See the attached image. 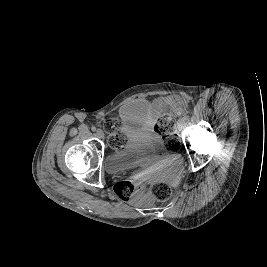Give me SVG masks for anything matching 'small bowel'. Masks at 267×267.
Listing matches in <instances>:
<instances>
[{
    "label": "small bowel",
    "mask_w": 267,
    "mask_h": 267,
    "mask_svg": "<svg viewBox=\"0 0 267 267\" xmlns=\"http://www.w3.org/2000/svg\"><path fill=\"white\" fill-rule=\"evenodd\" d=\"M185 105H186V101L182 98L160 99L156 103V108L152 116L148 119V121L144 123L143 125L130 130V135L133 138H142V139H149L152 141H157L158 136L155 133L154 125H155L156 119L160 115L162 107L170 106L173 111L180 112L184 109Z\"/></svg>",
    "instance_id": "obj_1"
}]
</instances>
